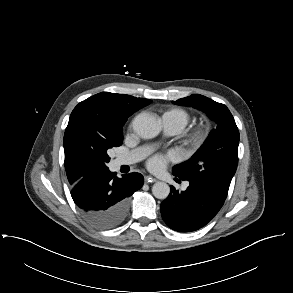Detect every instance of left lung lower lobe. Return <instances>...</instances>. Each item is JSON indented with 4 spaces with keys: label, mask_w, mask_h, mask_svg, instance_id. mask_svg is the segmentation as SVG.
<instances>
[{
    "label": "left lung lower lobe",
    "mask_w": 293,
    "mask_h": 293,
    "mask_svg": "<svg viewBox=\"0 0 293 293\" xmlns=\"http://www.w3.org/2000/svg\"><path fill=\"white\" fill-rule=\"evenodd\" d=\"M186 180L189 186L185 191L179 192L171 186L169 196L161 203L164 222L178 232L196 231L209 223L223 206L228 194L212 184L197 179Z\"/></svg>",
    "instance_id": "left-lung-lower-lobe-1"
}]
</instances>
